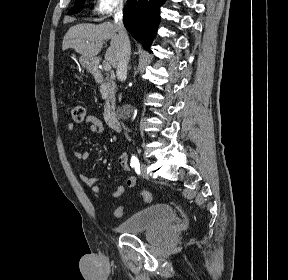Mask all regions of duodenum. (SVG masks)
I'll use <instances>...</instances> for the list:
<instances>
[{
    "label": "duodenum",
    "mask_w": 288,
    "mask_h": 280,
    "mask_svg": "<svg viewBox=\"0 0 288 280\" xmlns=\"http://www.w3.org/2000/svg\"><path fill=\"white\" fill-rule=\"evenodd\" d=\"M89 70L94 78L105 86L108 92V97L104 108V119L112 130L119 131L121 129V125L115 112V85L103 76L96 63H90Z\"/></svg>",
    "instance_id": "duodenum-1"
}]
</instances>
